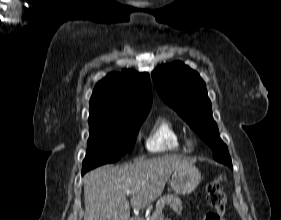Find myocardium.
Segmentation results:
<instances>
[{
  "instance_id": "1",
  "label": "myocardium",
  "mask_w": 281,
  "mask_h": 220,
  "mask_svg": "<svg viewBox=\"0 0 281 220\" xmlns=\"http://www.w3.org/2000/svg\"><path fill=\"white\" fill-rule=\"evenodd\" d=\"M194 139L193 138H188V139H186V145H187V147L188 148H193V146H194Z\"/></svg>"
}]
</instances>
